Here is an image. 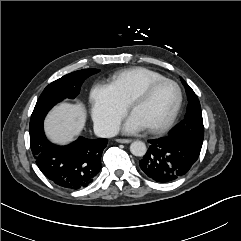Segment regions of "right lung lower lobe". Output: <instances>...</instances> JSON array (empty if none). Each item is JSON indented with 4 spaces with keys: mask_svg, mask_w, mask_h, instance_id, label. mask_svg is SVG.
I'll return each instance as SVG.
<instances>
[{
    "mask_svg": "<svg viewBox=\"0 0 241 241\" xmlns=\"http://www.w3.org/2000/svg\"><path fill=\"white\" fill-rule=\"evenodd\" d=\"M107 139L79 137L75 142L58 146L47 140L43 123L30 130V145L36 164L52 182L66 189L88 186L101 169V156Z\"/></svg>",
    "mask_w": 241,
    "mask_h": 241,
    "instance_id": "98d812e1",
    "label": "right lung lower lobe"
}]
</instances>
